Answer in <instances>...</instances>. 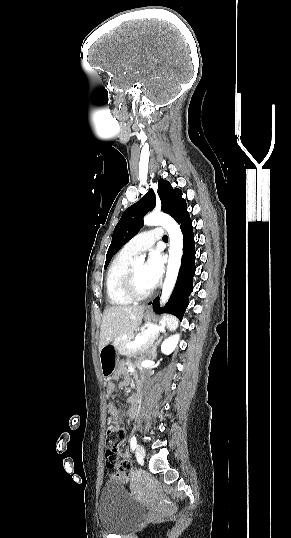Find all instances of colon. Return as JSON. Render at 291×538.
Returning a JSON list of instances; mask_svg holds the SVG:
<instances>
[{"mask_svg": "<svg viewBox=\"0 0 291 538\" xmlns=\"http://www.w3.org/2000/svg\"><path fill=\"white\" fill-rule=\"evenodd\" d=\"M124 439V430L115 417H111L106 428V463L111 469L116 470L115 476L123 482H127L132 474L131 464L127 461L120 460L118 457V446Z\"/></svg>", "mask_w": 291, "mask_h": 538, "instance_id": "colon-1", "label": "colon"}]
</instances>
